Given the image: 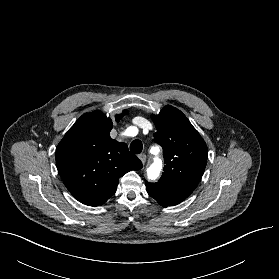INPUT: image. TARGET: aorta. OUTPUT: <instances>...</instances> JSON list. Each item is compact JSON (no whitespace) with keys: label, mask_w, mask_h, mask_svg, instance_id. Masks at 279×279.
I'll use <instances>...</instances> for the list:
<instances>
[{"label":"aorta","mask_w":279,"mask_h":279,"mask_svg":"<svg viewBox=\"0 0 279 279\" xmlns=\"http://www.w3.org/2000/svg\"><path fill=\"white\" fill-rule=\"evenodd\" d=\"M161 170V162L156 160L154 165H152L148 171V176L151 179H155Z\"/></svg>","instance_id":"762f6f07"}]
</instances>
